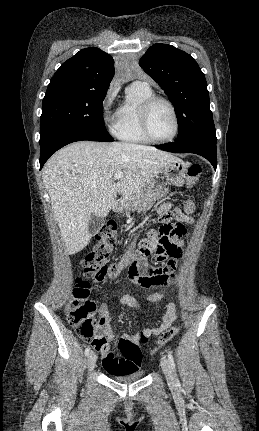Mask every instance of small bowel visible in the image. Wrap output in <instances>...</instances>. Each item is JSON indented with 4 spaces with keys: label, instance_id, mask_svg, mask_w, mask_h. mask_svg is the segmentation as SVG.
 I'll list each match as a JSON object with an SVG mask.
<instances>
[{
    "label": "small bowel",
    "instance_id": "1",
    "mask_svg": "<svg viewBox=\"0 0 259 431\" xmlns=\"http://www.w3.org/2000/svg\"><path fill=\"white\" fill-rule=\"evenodd\" d=\"M172 208L171 203H166L162 205L158 214L162 219H167L170 215V210ZM173 215L176 220L184 223H192V218L189 213H184L179 209L173 210ZM155 230H150L147 234V239L154 238L156 236ZM146 240V239H143ZM176 251L171 256V259L161 267L152 266H131L127 272V278L134 283H138L142 288L145 287H156L161 284H167L170 279L175 277V269L180 263L183 256L182 247L184 245L183 240H178L176 242ZM162 297L160 293H155L149 297V301H157ZM113 304L126 305L134 308L138 313L141 312V306L139 302L131 296L123 295L118 297ZM100 326L99 334L105 339V343L100 346L93 347L101 353L102 365L107 372H120L124 365L129 364L136 370L142 362V354L139 349L137 357H129L127 355L121 354L119 351H114L111 349V343L115 336L111 328V315L110 311H106L103 307H100ZM176 319L175 305L170 302L167 305L166 312L162 318L160 324L156 327L145 329L143 332L149 335H157L161 331L167 329ZM141 334L139 333H124L120 341H129L138 345Z\"/></svg>",
    "mask_w": 259,
    "mask_h": 431
}]
</instances>
